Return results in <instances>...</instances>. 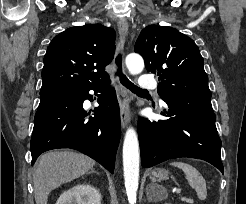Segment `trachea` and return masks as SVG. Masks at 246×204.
<instances>
[{
	"label": "trachea",
	"instance_id": "obj_1",
	"mask_svg": "<svg viewBox=\"0 0 246 204\" xmlns=\"http://www.w3.org/2000/svg\"><path fill=\"white\" fill-rule=\"evenodd\" d=\"M116 65H117V72L116 75L119 76L120 78V82L127 87L128 89H130L132 92L136 93V94H143V93H148L147 90H143L141 88H139L138 86H136L135 84H133L122 72H121V64H122V57L121 54L117 55L116 59H115Z\"/></svg>",
	"mask_w": 246,
	"mask_h": 204
}]
</instances>
